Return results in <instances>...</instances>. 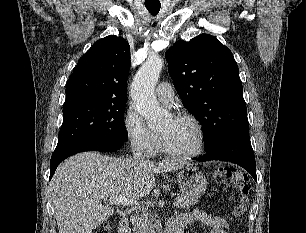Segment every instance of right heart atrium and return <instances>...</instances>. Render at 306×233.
I'll list each match as a JSON object with an SVG mask.
<instances>
[{"mask_svg":"<svg viewBox=\"0 0 306 233\" xmlns=\"http://www.w3.org/2000/svg\"><path fill=\"white\" fill-rule=\"evenodd\" d=\"M124 131L130 147L141 154L152 156L159 145V136L151 130L142 115L130 108L124 118Z\"/></svg>","mask_w":306,"mask_h":233,"instance_id":"1","label":"right heart atrium"}]
</instances>
